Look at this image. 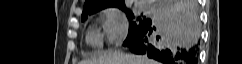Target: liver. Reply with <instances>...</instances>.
Listing matches in <instances>:
<instances>
[{
    "mask_svg": "<svg viewBox=\"0 0 242 64\" xmlns=\"http://www.w3.org/2000/svg\"><path fill=\"white\" fill-rule=\"evenodd\" d=\"M181 24L188 36L199 38L198 22L196 23L190 15H183ZM80 64H157V62L145 56L114 53L94 60H83Z\"/></svg>",
    "mask_w": 242,
    "mask_h": 64,
    "instance_id": "6515ba94",
    "label": "liver"
}]
</instances>
